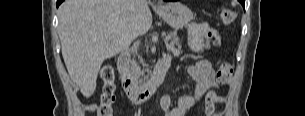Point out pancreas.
<instances>
[{
	"label": "pancreas",
	"mask_w": 305,
	"mask_h": 116,
	"mask_svg": "<svg viewBox=\"0 0 305 116\" xmlns=\"http://www.w3.org/2000/svg\"><path fill=\"white\" fill-rule=\"evenodd\" d=\"M170 43L167 45L169 49L173 50L177 54L181 53V45H180V40L179 37L176 35V33H170ZM177 46L178 48L175 49L174 47ZM192 50L194 52H200L203 50V48L199 45H193ZM134 53V51H132ZM140 63L144 65V61L141 57H139ZM128 73L131 76V78L137 82H141L140 76H141V68L139 64L136 62V60L133 58L130 60V65L128 67Z\"/></svg>",
	"instance_id": "1"
}]
</instances>
